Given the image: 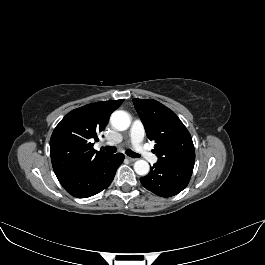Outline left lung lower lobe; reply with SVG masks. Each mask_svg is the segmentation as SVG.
<instances>
[{
  "label": "left lung lower lobe",
  "instance_id": "0a47b994",
  "mask_svg": "<svg viewBox=\"0 0 265 265\" xmlns=\"http://www.w3.org/2000/svg\"><path fill=\"white\" fill-rule=\"evenodd\" d=\"M194 163H155L149 174L140 178L142 185L161 197L181 192L189 183Z\"/></svg>",
  "mask_w": 265,
  "mask_h": 265
}]
</instances>
